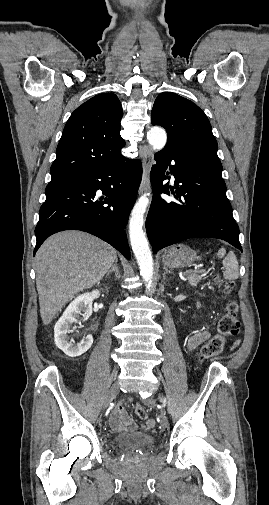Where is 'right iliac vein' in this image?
<instances>
[{"mask_svg":"<svg viewBox=\"0 0 269 505\" xmlns=\"http://www.w3.org/2000/svg\"><path fill=\"white\" fill-rule=\"evenodd\" d=\"M120 385V382L118 380H115L113 382V386L111 387V389L109 390L105 400H104V409H106L109 404L111 403V401L115 398V396L117 395L118 393V386Z\"/></svg>","mask_w":269,"mask_h":505,"instance_id":"right-iliac-vein-1","label":"right iliac vein"}]
</instances>
